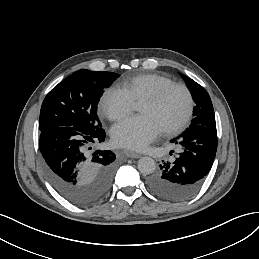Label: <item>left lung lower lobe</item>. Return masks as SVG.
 Masks as SVG:
<instances>
[{"instance_id":"0a47b994","label":"left lung lower lobe","mask_w":259,"mask_h":259,"mask_svg":"<svg viewBox=\"0 0 259 259\" xmlns=\"http://www.w3.org/2000/svg\"><path fill=\"white\" fill-rule=\"evenodd\" d=\"M171 142L180 145V153L174 162L160 165L147 184L161 198L182 201L200 189L211 170L218 143L216 125L190 126Z\"/></svg>"}]
</instances>
